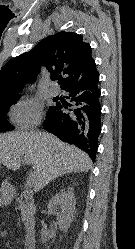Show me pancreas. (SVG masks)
<instances>
[{
  "mask_svg": "<svg viewBox=\"0 0 135 249\" xmlns=\"http://www.w3.org/2000/svg\"><path fill=\"white\" fill-rule=\"evenodd\" d=\"M19 202V209L21 210V215L24 221H28L33 218L35 212V206L32 202L25 200L23 201L22 196L17 199Z\"/></svg>",
  "mask_w": 135,
  "mask_h": 249,
  "instance_id": "pancreas-1",
  "label": "pancreas"
}]
</instances>
